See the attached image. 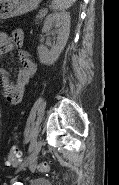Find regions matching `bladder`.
Returning a JSON list of instances; mask_svg holds the SVG:
<instances>
[{
	"label": "bladder",
	"instance_id": "bladder-1",
	"mask_svg": "<svg viewBox=\"0 0 119 185\" xmlns=\"http://www.w3.org/2000/svg\"><path fill=\"white\" fill-rule=\"evenodd\" d=\"M30 185H52V183L47 179L38 178L32 180Z\"/></svg>",
	"mask_w": 119,
	"mask_h": 185
}]
</instances>
